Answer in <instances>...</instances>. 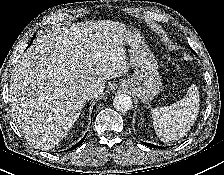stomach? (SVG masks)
<instances>
[{"instance_id": "0dacf381", "label": "stomach", "mask_w": 224, "mask_h": 175, "mask_svg": "<svg viewBox=\"0 0 224 175\" xmlns=\"http://www.w3.org/2000/svg\"><path fill=\"white\" fill-rule=\"evenodd\" d=\"M124 43L128 46V61L134 73L121 81L118 88L129 91L144 103L150 102L162 86L156 57L138 30H128Z\"/></svg>"}]
</instances>
